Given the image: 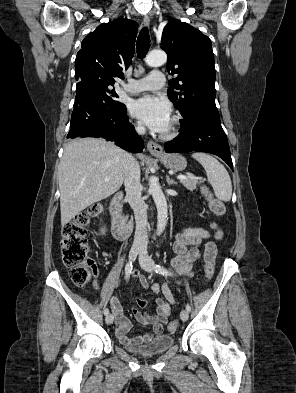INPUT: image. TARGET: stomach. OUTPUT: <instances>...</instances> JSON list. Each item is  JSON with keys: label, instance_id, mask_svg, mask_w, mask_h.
I'll return each mask as SVG.
<instances>
[{"label": "stomach", "instance_id": "stomach-1", "mask_svg": "<svg viewBox=\"0 0 296 393\" xmlns=\"http://www.w3.org/2000/svg\"><path fill=\"white\" fill-rule=\"evenodd\" d=\"M156 157L161 160V162L166 168L175 171H182L187 166V161L185 157L177 153L156 155Z\"/></svg>", "mask_w": 296, "mask_h": 393}]
</instances>
